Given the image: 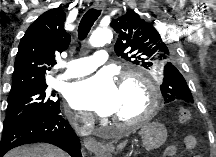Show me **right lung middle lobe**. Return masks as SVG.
I'll return each instance as SVG.
<instances>
[{
  "mask_svg": "<svg viewBox=\"0 0 216 157\" xmlns=\"http://www.w3.org/2000/svg\"><path fill=\"white\" fill-rule=\"evenodd\" d=\"M47 85L17 90L10 93L3 128L37 115L54 114L58 111L59 100L53 101L46 94ZM51 96H55L52 93Z\"/></svg>",
  "mask_w": 216,
  "mask_h": 157,
  "instance_id": "dd1d6c3e",
  "label": "right lung middle lobe"
}]
</instances>
